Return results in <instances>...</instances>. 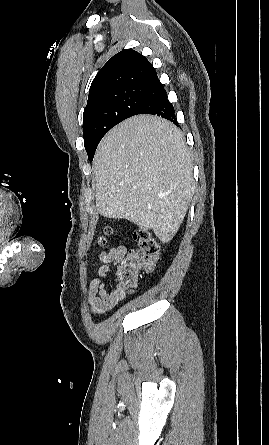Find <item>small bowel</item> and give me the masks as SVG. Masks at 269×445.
<instances>
[{"instance_id":"obj_1","label":"small bowel","mask_w":269,"mask_h":445,"mask_svg":"<svg viewBox=\"0 0 269 445\" xmlns=\"http://www.w3.org/2000/svg\"><path fill=\"white\" fill-rule=\"evenodd\" d=\"M127 255L124 246H116L99 255V264L96 267L97 277L91 283L88 291V300L91 311L95 315H104L114 308L123 298L124 293L118 288L107 289L103 280L108 276L112 265L119 264Z\"/></svg>"}]
</instances>
